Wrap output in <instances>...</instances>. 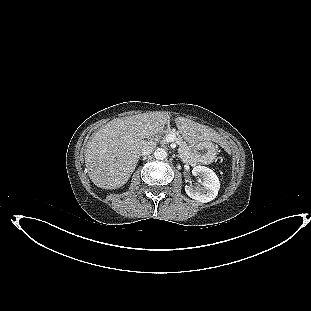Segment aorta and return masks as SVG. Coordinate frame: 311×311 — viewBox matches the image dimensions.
<instances>
[{
	"instance_id": "1",
	"label": "aorta",
	"mask_w": 311,
	"mask_h": 311,
	"mask_svg": "<svg viewBox=\"0 0 311 311\" xmlns=\"http://www.w3.org/2000/svg\"><path fill=\"white\" fill-rule=\"evenodd\" d=\"M154 156L156 159H165L167 157V152L165 149L163 148H158L156 149L155 153H154Z\"/></svg>"
}]
</instances>
